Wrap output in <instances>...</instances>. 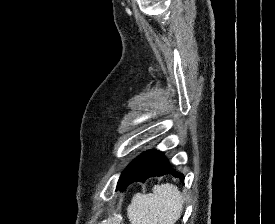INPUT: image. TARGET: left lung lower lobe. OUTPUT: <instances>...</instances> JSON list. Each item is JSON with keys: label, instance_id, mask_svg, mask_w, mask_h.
Masks as SVG:
<instances>
[{"label": "left lung lower lobe", "instance_id": "obj_1", "mask_svg": "<svg viewBox=\"0 0 275 224\" xmlns=\"http://www.w3.org/2000/svg\"><path fill=\"white\" fill-rule=\"evenodd\" d=\"M171 174L184 182L183 174L175 171L164 157L162 152L147 151L138 156L130 165L127 172L120 177L117 189L125 190L131 183L145 182L149 177Z\"/></svg>", "mask_w": 275, "mask_h": 224}]
</instances>
